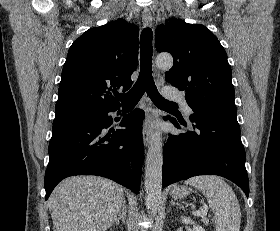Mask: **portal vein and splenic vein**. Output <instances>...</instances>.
<instances>
[{"label": "portal vein and splenic vein", "mask_w": 280, "mask_h": 231, "mask_svg": "<svg viewBox=\"0 0 280 231\" xmlns=\"http://www.w3.org/2000/svg\"><path fill=\"white\" fill-rule=\"evenodd\" d=\"M207 207H204L203 205V209H198V211H192V213H194V215H207Z\"/></svg>", "instance_id": "obj_1"}]
</instances>
